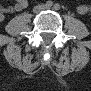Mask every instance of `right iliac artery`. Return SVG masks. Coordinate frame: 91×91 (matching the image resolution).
<instances>
[{
  "instance_id": "obj_1",
  "label": "right iliac artery",
  "mask_w": 91,
  "mask_h": 91,
  "mask_svg": "<svg viewBox=\"0 0 91 91\" xmlns=\"http://www.w3.org/2000/svg\"><path fill=\"white\" fill-rule=\"evenodd\" d=\"M52 5H53V2H52V1H47V2H46V6H47V7H52Z\"/></svg>"
}]
</instances>
